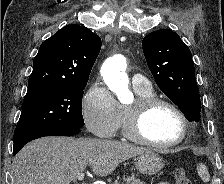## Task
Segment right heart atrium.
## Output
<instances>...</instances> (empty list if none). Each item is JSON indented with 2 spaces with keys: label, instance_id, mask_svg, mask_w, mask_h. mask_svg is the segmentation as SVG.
<instances>
[{
  "label": "right heart atrium",
  "instance_id": "1",
  "mask_svg": "<svg viewBox=\"0 0 224 184\" xmlns=\"http://www.w3.org/2000/svg\"><path fill=\"white\" fill-rule=\"evenodd\" d=\"M121 107L111 91L95 81L82 101V116L89 131L99 137L113 136L120 123Z\"/></svg>",
  "mask_w": 224,
  "mask_h": 184
}]
</instances>
